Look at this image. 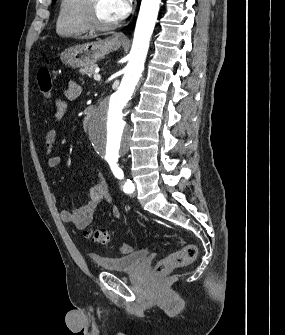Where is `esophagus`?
Wrapping results in <instances>:
<instances>
[{
	"label": "esophagus",
	"instance_id": "34e87169",
	"mask_svg": "<svg viewBox=\"0 0 285 335\" xmlns=\"http://www.w3.org/2000/svg\"><path fill=\"white\" fill-rule=\"evenodd\" d=\"M114 38H116L117 40H126V36L123 33L114 35Z\"/></svg>",
	"mask_w": 285,
	"mask_h": 335
}]
</instances>
